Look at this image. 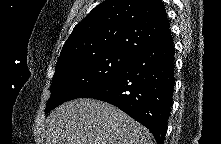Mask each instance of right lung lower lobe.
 Listing matches in <instances>:
<instances>
[{
  "instance_id": "right-lung-lower-lobe-1",
  "label": "right lung lower lobe",
  "mask_w": 221,
  "mask_h": 144,
  "mask_svg": "<svg viewBox=\"0 0 221 144\" xmlns=\"http://www.w3.org/2000/svg\"><path fill=\"white\" fill-rule=\"evenodd\" d=\"M174 44L172 35L146 47L115 76L80 98L108 102L146 126L163 144L173 100Z\"/></svg>"
}]
</instances>
